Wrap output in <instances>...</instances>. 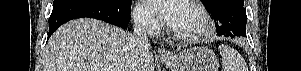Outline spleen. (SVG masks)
<instances>
[{
    "label": "spleen",
    "instance_id": "1",
    "mask_svg": "<svg viewBox=\"0 0 301 71\" xmlns=\"http://www.w3.org/2000/svg\"><path fill=\"white\" fill-rule=\"evenodd\" d=\"M219 50L222 57V71H248L245 60L235 49L222 44Z\"/></svg>",
    "mask_w": 301,
    "mask_h": 71
}]
</instances>
